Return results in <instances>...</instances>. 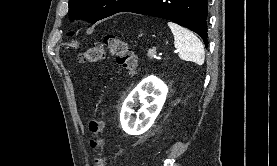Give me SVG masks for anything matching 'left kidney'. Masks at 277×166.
<instances>
[{"label":"left kidney","mask_w":277,"mask_h":166,"mask_svg":"<svg viewBox=\"0 0 277 166\" xmlns=\"http://www.w3.org/2000/svg\"><path fill=\"white\" fill-rule=\"evenodd\" d=\"M168 93L167 85L155 76H149L142 80L125 99L121 113L120 122L122 129L129 135H141L145 133L154 123L159 115ZM149 100H147V98ZM141 103V108L136 113L135 119L133 107ZM142 115L139 118V115Z\"/></svg>","instance_id":"obj_1"}]
</instances>
